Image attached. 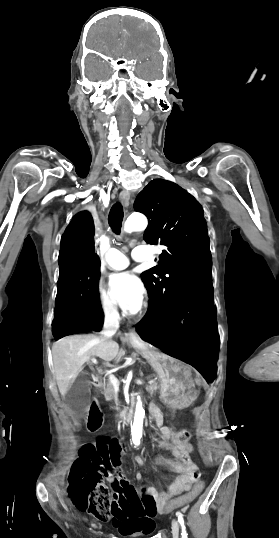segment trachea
I'll list each match as a JSON object with an SVG mask.
<instances>
[{"mask_svg":"<svg viewBox=\"0 0 279 538\" xmlns=\"http://www.w3.org/2000/svg\"><path fill=\"white\" fill-rule=\"evenodd\" d=\"M123 218H124L123 207L121 203L117 202L112 206L109 212V216H108L109 225L111 229L113 230V232L116 233L117 235L120 234Z\"/></svg>","mask_w":279,"mask_h":538,"instance_id":"trachea-1","label":"trachea"}]
</instances>
